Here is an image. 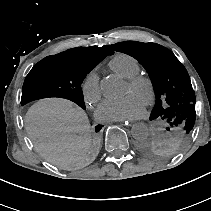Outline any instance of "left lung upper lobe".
Here are the masks:
<instances>
[{"instance_id": "5c2ea615", "label": "left lung upper lobe", "mask_w": 211, "mask_h": 211, "mask_svg": "<svg viewBox=\"0 0 211 211\" xmlns=\"http://www.w3.org/2000/svg\"><path fill=\"white\" fill-rule=\"evenodd\" d=\"M110 48L137 59L153 84L156 100L150 120L163 128V135L142 142L141 151L151 157L178 152L191 137L196 119L195 93L187 70L169 49L156 43L126 41Z\"/></svg>"}]
</instances>
